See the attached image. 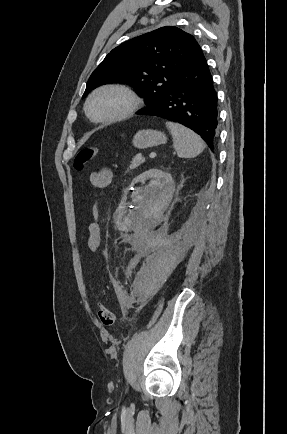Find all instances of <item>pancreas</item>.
<instances>
[{
    "label": "pancreas",
    "mask_w": 287,
    "mask_h": 434,
    "mask_svg": "<svg viewBox=\"0 0 287 434\" xmlns=\"http://www.w3.org/2000/svg\"><path fill=\"white\" fill-rule=\"evenodd\" d=\"M144 161V158L140 154L135 155L131 161L130 169L138 168Z\"/></svg>",
    "instance_id": "obj_1"
}]
</instances>
